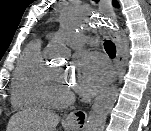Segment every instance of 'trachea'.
Masks as SVG:
<instances>
[{"label": "trachea", "mask_w": 151, "mask_h": 131, "mask_svg": "<svg viewBox=\"0 0 151 131\" xmlns=\"http://www.w3.org/2000/svg\"><path fill=\"white\" fill-rule=\"evenodd\" d=\"M93 1L98 2V0H93ZM104 48H105L107 54L110 57H115V55H116V47H115V44L113 42H111L110 40H106L104 42Z\"/></svg>", "instance_id": "trachea-1"}]
</instances>
